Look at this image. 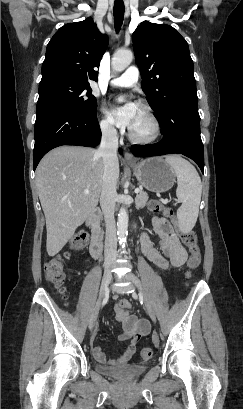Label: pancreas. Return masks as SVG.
<instances>
[{
  "label": "pancreas",
  "mask_w": 243,
  "mask_h": 409,
  "mask_svg": "<svg viewBox=\"0 0 243 409\" xmlns=\"http://www.w3.org/2000/svg\"><path fill=\"white\" fill-rule=\"evenodd\" d=\"M148 194L144 191H140L135 198V204L137 209H142L146 206L148 201Z\"/></svg>",
  "instance_id": "cf45deb5"
}]
</instances>
